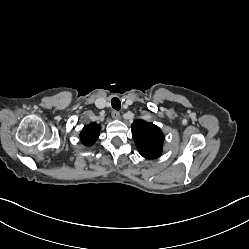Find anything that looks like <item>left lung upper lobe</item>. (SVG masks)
Wrapping results in <instances>:
<instances>
[{
	"mask_svg": "<svg viewBox=\"0 0 249 249\" xmlns=\"http://www.w3.org/2000/svg\"><path fill=\"white\" fill-rule=\"evenodd\" d=\"M132 136L139 153L148 159H155L162 153L164 135L153 123L138 119L133 122Z\"/></svg>",
	"mask_w": 249,
	"mask_h": 249,
	"instance_id": "left-lung-upper-lobe-1",
	"label": "left lung upper lobe"
}]
</instances>
